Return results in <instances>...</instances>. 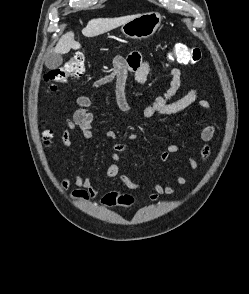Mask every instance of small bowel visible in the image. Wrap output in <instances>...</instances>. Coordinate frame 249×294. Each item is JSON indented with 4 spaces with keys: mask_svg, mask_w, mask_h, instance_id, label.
Returning a JSON list of instances; mask_svg holds the SVG:
<instances>
[{
    "mask_svg": "<svg viewBox=\"0 0 249 294\" xmlns=\"http://www.w3.org/2000/svg\"><path fill=\"white\" fill-rule=\"evenodd\" d=\"M120 58V57H116ZM126 60V69L122 72L115 73L116 75V88H115V103L117 107L123 112L130 111V104L126 97V85L129 74H133L134 80L137 84H142L150 70V63L143 58L142 54L138 51L132 52ZM171 81L168 89L161 96H158L154 102L146 106L142 111L144 119H151L156 116H170L177 114L193 104L208 113L212 112L211 104L204 99L198 98V92L192 88L188 90L180 99L173 103L169 101L181 90L182 80L181 71L178 68H173L170 71ZM114 78V74H109L98 78L91 86V90L103 88ZM77 105L79 110L75 113L72 120L66 122V128L61 134V142L66 148L72 146V133L75 130H80L84 139H91L93 137V121L94 116L88 111L92 104V98L89 93L81 94L77 97ZM215 127L213 125L205 126L199 133V138L204 144L199 148V154L204 163H208L211 158V149L207 142L214 138ZM109 139H116L117 133L114 130L106 132ZM129 140L136 139V135L127 134ZM128 149L125 144H114L112 147L113 152L110 154L112 163L107 167L105 176L107 179L118 178L122 183L123 188L126 190H140L144 187V183L132 180L129 176L120 173L118 162L120 161V153ZM179 152V147L176 144H169L165 150L160 153V159L163 162L169 161L174 155ZM186 162L192 171L198 169V162L192 156H186ZM175 183L179 187H184L187 184V179L181 173L176 172L174 176ZM74 184L75 189L69 190L70 186ZM63 189L68 192L71 198L79 199L83 202L92 200L100 191L101 187L95 184L89 177L81 175L70 174L62 182ZM175 188L170 184H162L156 182L153 186V192L150 194V199L156 201L163 196L173 195ZM121 191H110L102 196L100 199V206L103 208L111 207L116 204Z\"/></svg>",
    "mask_w": 249,
    "mask_h": 294,
    "instance_id": "1",
    "label": "small bowel"
}]
</instances>
